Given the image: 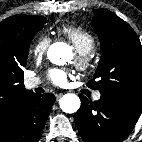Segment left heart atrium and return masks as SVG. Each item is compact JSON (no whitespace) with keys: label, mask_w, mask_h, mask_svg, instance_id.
Instances as JSON below:
<instances>
[{"label":"left heart atrium","mask_w":142,"mask_h":142,"mask_svg":"<svg viewBox=\"0 0 142 142\" xmlns=\"http://www.w3.org/2000/svg\"><path fill=\"white\" fill-rule=\"evenodd\" d=\"M71 76V72L66 69L55 68L49 72V79L58 87H65L68 83V79L71 78Z\"/></svg>","instance_id":"obj_1"}]
</instances>
